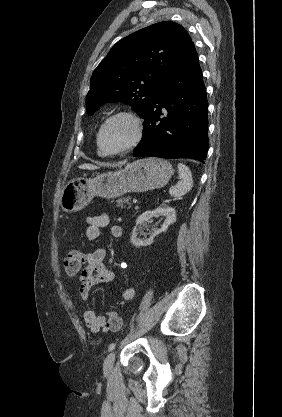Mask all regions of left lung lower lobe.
I'll list each match as a JSON object with an SVG mask.
<instances>
[{
  "instance_id": "left-lung-lower-lobe-1",
  "label": "left lung lower lobe",
  "mask_w": 282,
  "mask_h": 417,
  "mask_svg": "<svg viewBox=\"0 0 282 417\" xmlns=\"http://www.w3.org/2000/svg\"><path fill=\"white\" fill-rule=\"evenodd\" d=\"M208 103L198 55L188 46L172 64L144 116L142 141L133 156L191 158L208 151Z\"/></svg>"
}]
</instances>
